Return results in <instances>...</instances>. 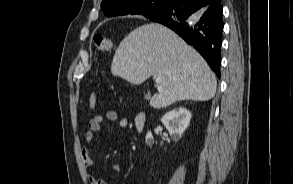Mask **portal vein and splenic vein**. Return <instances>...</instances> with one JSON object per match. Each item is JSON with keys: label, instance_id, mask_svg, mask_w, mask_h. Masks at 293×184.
Instances as JSON below:
<instances>
[{"label": "portal vein and splenic vein", "instance_id": "obj_1", "mask_svg": "<svg viewBox=\"0 0 293 184\" xmlns=\"http://www.w3.org/2000/svg\"><path fill=\"white\" fill-rule=\"evenodd\" d=\"M156 84H157V88L158 90H161V87H160V77H156Z\"/></svg>", "mask_w": 293, "mask_h": 184}]
</instances>
